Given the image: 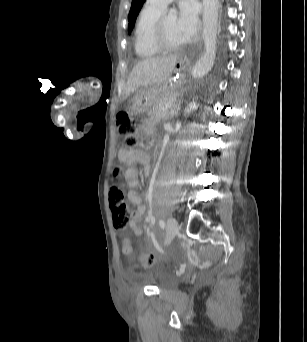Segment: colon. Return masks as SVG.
<instances>
[{
	"mask_svg": "<svg viewBox=\"0 0 307 342\" xmlns=\"http://www.w3.org/2000/svg\"><path fill=\"white\" fill-rule=\"evenodd\" d=\"M118 133L124 137V143L127 146H135L138 141L139 125L130 116L128 111L120 110L117 113L116 119ZM120 168L116 166L113 169V185L109 190V203L112 209L113 221L115 227L125 228L132 218L133 211L129 207L122 189L117 185V180L120 179ZM121 253L131 254L133 241L127 236L120 241ZM155 256L150 254L144 258L143 264L145 267H150L154 262Z\"/></svg>",
	"mask_w": 307,
	"mask_h": 342,
	"instance_id": "obj_1",
	"label": "colon"
}]
</instances>
